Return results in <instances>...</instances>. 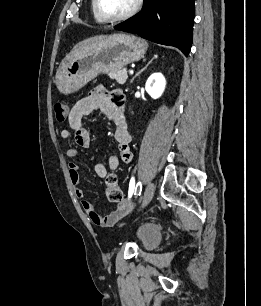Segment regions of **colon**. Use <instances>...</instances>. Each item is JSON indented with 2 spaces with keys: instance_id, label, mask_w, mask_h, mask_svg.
<instances>
[{
  "instance_id": "obj_1",
  "label": "colon",
  "mask_w": 261,
  "mask_h": 306,
  "mask_svg": "<svg viewBox=\"0 0 261 306\" xmlns=\"http://www.w3.org/2000/svg\"><path fill=\"white\" fill-rule=\"evenodd\" d=\"M54 111H55L56 119L59 122H62L67 117L68 107L63 102H57L54 105ZM106 183H107L106 194H107L108 199L111 202H115V203L122 202L124 197H123V192L121 188L118 186L117 176L114 173L109 174L106 178Z\"/></svg>"
}]
</instances>
